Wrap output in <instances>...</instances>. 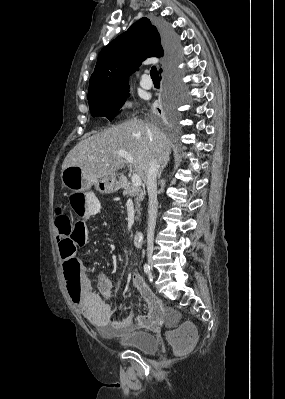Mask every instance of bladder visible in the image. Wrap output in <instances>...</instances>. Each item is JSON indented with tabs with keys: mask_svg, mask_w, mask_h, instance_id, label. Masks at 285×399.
<instances>
[{
	"mask_svg": "<svg viewBox=\"0 0 285 399\" xmlns=\"http://www.w3.org/2000/svg\"><path fill=\"white\" fill-rule=\"evenodd\" d=\"M101 334H107L106 329L99 330ZM118 341L125 347L139 350L147 354H155L158 351V343L150 332H134Z\"/></svg>",
	"mask_w": 285,
	"mask_h": 399,
	"instance_id": "1",
	"label": "bladder"
}]
</instances>
